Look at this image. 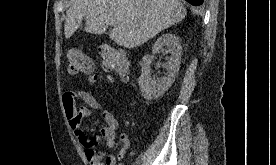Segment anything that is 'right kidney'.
<instances>
[{
  "mask_svg": "<svg viewBox=\"0 0 276 165\" xmlns=\"http://www.w3.org/2000/svg\"><path fill=\"white\" fill-rule=\"evenodd\" d=\"M167 49L170 53L168 62L164 65L167 72L160 79L152 80L150 76V64L153 56L145 55L142 58V74L138 79L139 87L146 100L158 99L172 86L179 72L181 64L182 47L179 38L171 33L159 37L152 46V53Z\"/></svg>",
  "mask_w": 276,
  "mask_h": 165,
  "instance_id": "1",
  "label": "right kidney"
}]
</instances>
